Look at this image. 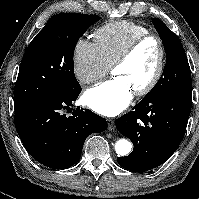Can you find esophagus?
<instances>
[{
  "instance_id": "1",
  "label": "esophagus",
  "mask_w": 199,
  "mask_h": 199,
  "mask_svg": "<svg viewBox=\"0 0 199 199\" xmlns=\"http://www.w3.org/2000/svg\"><path fill=\"white\" fill-rule=\"evenodd\" d=\"M107 125L109 130L115 129V121L113 119H107Z\"/></svg>"
}]
</instances>
